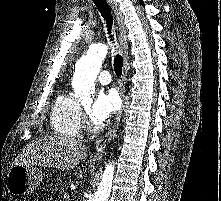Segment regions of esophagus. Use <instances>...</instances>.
I'll list each match as a JSON object with an SVG mask.
<instances>
[{
  "label": "esophagus",
  "mask_w": 221,
  "mask_h": 201,
  "mask_svg": "<svg viewBox=\"0 0 221 201\" xmlns=\"http://www.w3.org/2000/svg\"><path fill=\"white\" fill-rule=\"evenodd\" d=\"M109 5L111 6L116 22L119 29V41H120V52L123 57V70H122V77L120 81L119 91L122 98V107L117 114L116 121L113 125V127L105 134L103 135L96 143V150L93 155L94 160H101L103 157V154L107 148V146L110 144V142L114 139L119 122L123 113V110L125 108V86H126V80H127V72H128V42H127V29L124 23V16L121 10L119 9V6L117 3H115L114 0H107Z\"/></svg>",
  "instance_id": "34e87169"
}]
</instances>
